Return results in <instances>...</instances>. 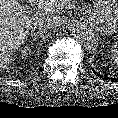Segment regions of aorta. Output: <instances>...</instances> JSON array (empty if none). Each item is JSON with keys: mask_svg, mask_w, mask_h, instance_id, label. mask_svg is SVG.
<instances>
[{"mask_svg": "<svg viewBox=\"0 0 118 118\" xmlns=\"http://www.w3.org/2000/svg\"><path fill=\"white\" fill-rule=\"evenodd\" d=\"M73 37L85 48L96 49L98 40L93 32L87 29L81 23L75 22L70 26Z\"/></svg>", "mask_w": 118, "mask_h": 118, "instance_id": "obj_1", "label": "aorta"}]
</instances>
